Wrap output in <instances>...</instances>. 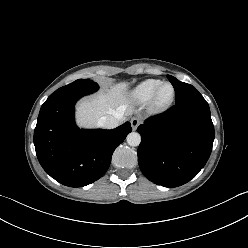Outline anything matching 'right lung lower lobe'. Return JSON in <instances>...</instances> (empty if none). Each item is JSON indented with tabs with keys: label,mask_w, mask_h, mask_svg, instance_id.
I'll use <instances>...</instances> for the list:
<instances>
[{
	"label": "right lung lower lobe",
	"mask_w": 248,
	"mask_h": 248,
	"mask_svg": "<svg viewBox=\"0 0 248 248\" xmlns=\"http://www.w3.org/2000/svg\"><path fill=\"white\" fill-rule=\"evenodd\" d=\"M91 93L55 91L42 105L34 131L41 166L56 181L70 187H83L101 178L114 150L132 131L130 122L112 130H80L74 122V105Z\"/></svg>",
	"instance_id": "1"
}]
</instances>
